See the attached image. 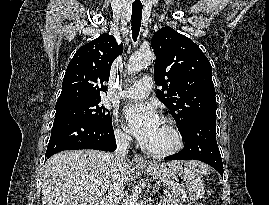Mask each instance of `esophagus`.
Segmentation results:
<instances>
[{"label": "esophagus", "instance_id": "34e87169", "mask_svg": "<svg viewBox=\"0 0 269 205\" xmlns=\"http://www.w3.org/2000/svg\"><path fill=\"white\" fill-rule=\"evenodd\" d=\"M133 163L135 165H148V163L144 160V158L138 154L133 157Z\"/></svg>", "mask_w": 269, "mask_h": 205}]
</instances>
